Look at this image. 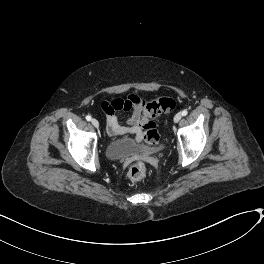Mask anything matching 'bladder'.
<instances>
[{"label":"bladder","mask_w":264,"mask_h":264,"mask_svg":"<svg viewBox=\"0 0 264 264\" xmlns=\"http://www.w3.org/2000/svg\"><path fill=\"white\" fill-rule=\"evenodd\" d=\"M162 149L160 145L143 146L132 138H126L107 145L105 154L109 160L114 161L134 155H155L161 152Z\"/></svg>","instance_id":"obj_1"}]
</instances>
